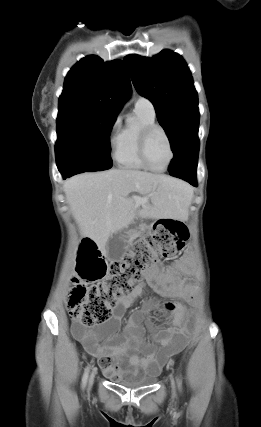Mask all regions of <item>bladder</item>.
Masks as SVG:
<instances>
[{
    "label": "bladder",
    "mask_w": 261,
    "mask_h": 427,
    "mask_svg": "<svg viewBox=\"0 0 261 427\" xmlns=\"http://www.w3.org/2000/svg\"><path fill=\"white\" fill-rule=\"evenodd\" d=\"M156 380H157V377L154 375L143 376V377H137V378L128 379V380H123L119 382V385L127 388L147 387L154 384Z\"/></svg>",
    "instance_id": "obj_1"
}]
</instances>
